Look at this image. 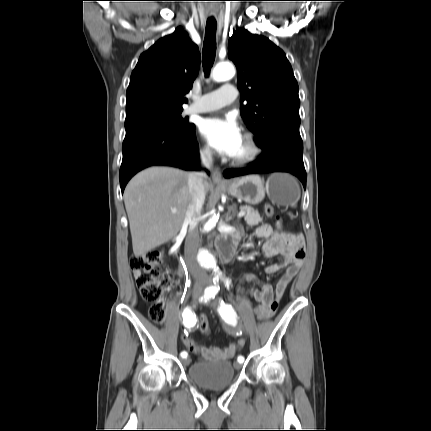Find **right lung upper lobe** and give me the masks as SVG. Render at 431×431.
Instances as JSON below:
<instances>
[{"mask_svg": "<svg viewBox=\"0 0 431 431\" xmlns=\"http://www.w3.org/2000/svg\"><path fill=\"white\" fill-rule=\"evenodd\" d=\"M200 67V53L177 28L140 55L126 92V120L182 110Z\"/></svg>", "mask_w": 431, "mask_h": 431, "instance_id": "cb5924a9", "label": "right lung upper lobe"}]
</instances>
